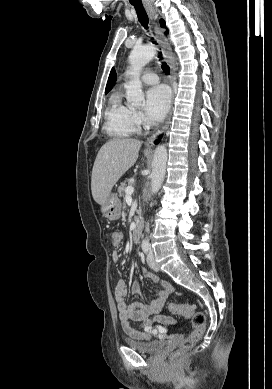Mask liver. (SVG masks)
Here are the masks:
<instances>
[{
  "mask_svg": "<svg viewBox=\"0 0 272 389\" xmlns=\"http://www.w3.org/2000/svg\"><path fill=\"white\" fill-rule=\"evenodd\" d=\"M141 145L136 139H110L100 148L91 176L92 196L98 204L106 203L113 186L135 164Z\"/></svg>",
  "mask_w": 272,
  "mask_h": 389,
  "instance_id": "1",
  "label": "liver"
}]
</instances>
